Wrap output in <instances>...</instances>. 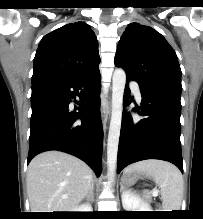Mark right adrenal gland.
Instances as JSON below:
<instances>
[{
  "label": "right adrenal gland",
  "mask_w": 203,
  "mask_h": 219,
  "mask_svg": "<svg viewBox=\"0 0 203 219\" xmlns=\"http://www.w3.org/2000/svg\"><path fill=\"white\" fill-rule=\"evenodd\" d=\"M94 184L92 183V187H91V190H90V193L88 195H86V200L87 201H90V202H93L94 201Z\"/></svg>",
  "instance_id": "2a0ac1e0"
}]
</instances>
